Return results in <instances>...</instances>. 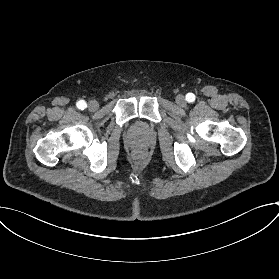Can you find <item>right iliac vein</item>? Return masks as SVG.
<instances>
[{
	"label": "right iliac vein",
	"instance_id": "obj_1",
	"mask_svg": "<svg viewBox=\"0 0 279 279\" xmlns=\"http://www.w3.org/2000/svg\"><path fill=\"white\" fill-rule=\"evenodd\" d=\"M99 108V103L95 100L89 101L88 109L89 111H96Z\"/></svg>",
	"mask_w": 279,
	"mask_h": 279
}]
</instances>
